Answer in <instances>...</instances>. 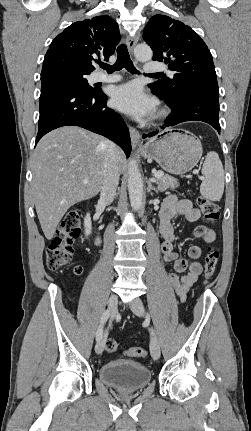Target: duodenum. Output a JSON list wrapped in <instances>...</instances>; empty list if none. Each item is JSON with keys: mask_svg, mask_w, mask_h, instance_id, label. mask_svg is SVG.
Here are the masks:
<instances>
[{"mask_svg": "<svg viewBox=\"0 0 251 431\" xmlns=\"http://www.w3.org/2000/svg\"><path fill=\"white\" fill-rule=\"evenodd\" d=\"M100 241V236L99 235H97V242H99Z\"/></svg>", "mask_w": 251, "mask_h": 431, "instance_id": "410a0bca", "label": "duodenum"}]
</instances>
